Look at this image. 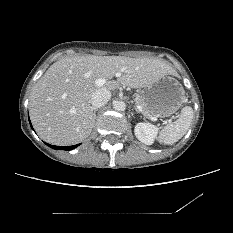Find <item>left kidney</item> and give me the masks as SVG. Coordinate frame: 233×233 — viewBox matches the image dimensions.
<instances>
[{"label": "left kidney", "instance_id": "5707ae66", "mask_svg": "<svg viewBox=\"0 0 233 233\" xmlns=\"http://www.w3.org/2000/svg\"><path fill=\"white\" fill-rule=\"evenodd\" d=\"M158 127L150 123H137L134 129L135 136L146 145H152L158 133Z\"/></svg>", "mask_w": 233, "mask_h": 233}]
</instances>
